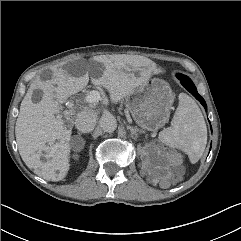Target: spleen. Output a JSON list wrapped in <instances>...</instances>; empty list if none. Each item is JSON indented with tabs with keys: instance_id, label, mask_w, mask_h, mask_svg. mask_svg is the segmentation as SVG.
Wrapping results in <instances>:
<instances>
[{
	"instance_id": "obj_1",
	"label": "spleen",
	"mask_w": 241,
	"mask_h": 241,
	"mask_svg": "<svg viewBox=\"0 0 241 241\" xmlns=\"http://www.w3.org/2000/svg\"><path fill=\"white\" fill-rule=\"evenodd\" d=\"M158 140L169 147L182 149L192 163L202 157L207 143V128L200 108L190 96L179 94L171 126L159 133Z\"/></svg>"
}]
</instances>
